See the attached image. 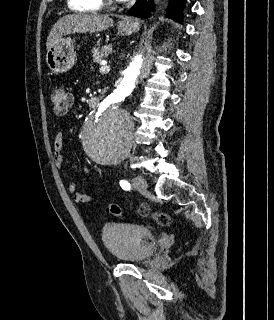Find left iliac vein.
Instances as JSON below:
<instances>
[{
  "label": "left iliac vein",
  "mask_w": 274,
  "mask_h": 320,
  "mask_svg": "<svg viewBox=\"0 0 274 320\" xmlns=\"http://www.w3.org/2000/svg\"><path fill=\"white\" fill-rule=\"evenodd\" d=\"M132 185L134 186V188H136L138 191H141V192H145L148 187L145 179H143L140 176H136L132 178Z\"/></svg>",
  "instance_id": "obj_1"
}]
</instances>
